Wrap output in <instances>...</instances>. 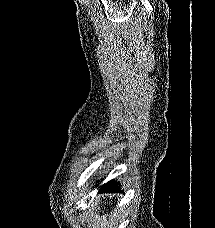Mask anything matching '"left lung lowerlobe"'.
<instances>
[{"label": "left lung lower lobe", "instance_id": "0a47b994", "mask_svg": "<svg viewBox=\"0 0 215 228\" xmlns=\"http://www.w3.org/2000/svg\"><path fill=\"white\" fill-rule=\"evenodd\" d=\"M100 193H113V192H121L120 188L118 187V183L116 182H108L107 184L103 185L100 190Z\"/></svg>", "mask_w": 215, "mask_h": 228}]
</instances>
